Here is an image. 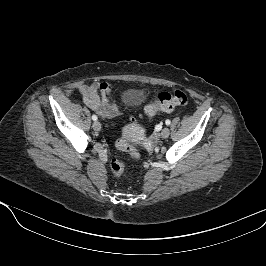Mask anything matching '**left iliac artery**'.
<instances>
[{
  "label": "left iliac artery",
  "mask_w": 266,
  "mask_h": 266,
  "mask_svg": "<svg viewBox=\"0 0 266 266\" xmlns=\"http://www.w3.org/2000/svg\"><path fill=\"white\" fill-rule=\"evenodd\" d=\"M165 123H166V125H170L171 121L170 120H166Z\"/></svg>",
  "instance_id": "left-iliac-artery-1"
}]
</instances>
